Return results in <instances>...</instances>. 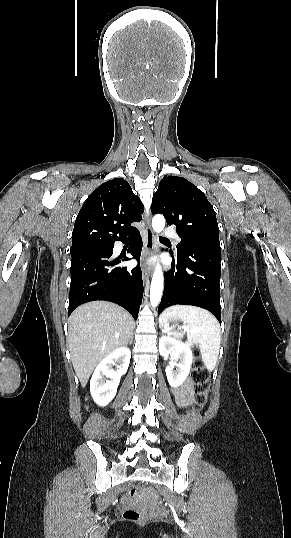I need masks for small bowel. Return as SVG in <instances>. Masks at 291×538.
<instances>
[{
	"mask_svg": "<svg viewBox=\"0 0 291 538\" xmlns=\"http://www.w3.org/2000/svg\"><path fill=\"white\" fill-rule=\"evenodd\" d=\"M192 395V387L189 382H185L179 389H178V396L183 401L190 400Z\"/></svg>",
	"mask_w": 291,
	"mask_h": 538,
	"instance_id": "small-bowel-1",
	"label": "small bowel"
}]
</instances>
